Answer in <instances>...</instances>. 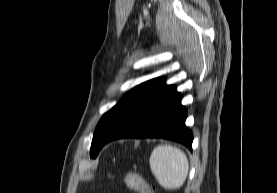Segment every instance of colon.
<instances>
[{"label":"colon","mask_w":277,"mask_h":193,"mask_svg":"<svg viewBox=\"0 0 277 193\" xmlns=\"http://www.w3.org/2000/svg\"><path fill=\"white\" fill-rule=\"evenodd\" d=\"M123 184L136 193H152L147 182L136 172H127L122 177Z\"/></svg>","instance_id":"colon-1"}]
</instances>
